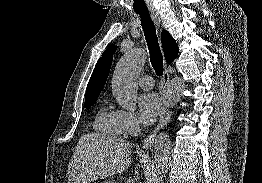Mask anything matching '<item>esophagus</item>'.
Instances as JSON below:
<instances>
[{
  "mask_svg": "<svg viewBox=\"0 0 262 183\" xmlns=\"http://www.w3.org/2000/svg\"><path fill=\"white\" fill-rule=\"evenodd\" d=\"M151 17L154 20L155 24L157 26L160 25V17L157 12L152 11ZM169 72L167 69L164 70L163 78H162V90H164L169 82ZM171 119V112L167 108H162L160 119L158 122V125L155 127V129L148 135V137L144 140L142 148L143 149H149L153 146L154 139L159 132L160 129H163L170 121Z\"/></svg>",
  "mask_w": 262,
  "mask_h": 183,
  "instance_id": "34e87169",
  "label": "esophagus"
}]
</instances>
